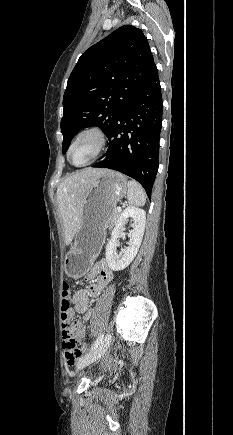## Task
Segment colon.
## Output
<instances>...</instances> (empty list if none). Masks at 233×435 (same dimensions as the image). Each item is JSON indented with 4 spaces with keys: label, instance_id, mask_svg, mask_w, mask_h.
I'll return each instance as SVG.
<instances>
[{
    "label": "colon",
    "instance_id": "1",
    "mask_svg": "<svg viewBox=\"0 0 233 435\" xmlns=\"http://www.w3.org/2000/svg\"><path fill=\"white\" fill-rule=\"evenodd\" d=\"M61 299V309L63 316L69 317L72 314L71 288L69 283L66 281L62 283ZM63 338L65 361L70 365H74L81 355V351L77 342L76 329L73 326L66 328L63 332Z\"/></svg>",
    "mask_w": 233,
    "mask_h": 435
}]
</instances>
